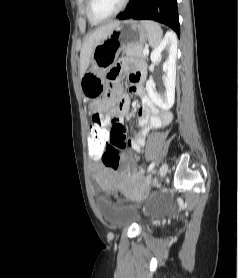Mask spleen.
<instances>
[{"instance_id":"spleen-1","label":"spleen","mask_w":238,"mask_h":278,"mask_svg":"<svg viewBox=\"0 0 238 278\" xmlns=\"http://www.w3.org/2000/svg\"><path fill=\"white\" fill-rule=\"evenodd\" d=\"M143 25L148 31V41L152 47H157L162 39L161 27L153 21H142Z\"/></svg>"}]
</instances>
